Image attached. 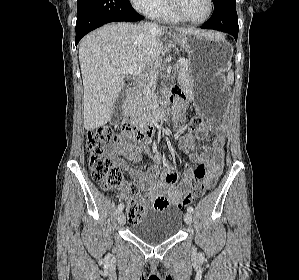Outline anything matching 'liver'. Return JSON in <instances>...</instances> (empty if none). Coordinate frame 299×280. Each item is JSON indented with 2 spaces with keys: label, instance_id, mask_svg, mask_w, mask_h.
Returning a JSON list of instances; mask_svg holds the SVG:
<instances>
[{
  "label": "liver",
  "instance_id": "1",
  "mask_svg": "<svg viewBox=\"0 0 299 280\" xmlns=\"http://www.w3.org/2000/svg\"><path fill=\"white\" fill-rule=\"evenodd\" d=\"M166 28L150 23L107 24L86 35L79 44L84 98L83 124L86 130L104 126L114 103L124 87V76L108 69H124L137 64L146 69L155 63L163 50ZM181 34L199 33L192 28H176Z\"/></svg>",
  "mask_w": 299,
  "mask_h": 280
}]
</instances>
